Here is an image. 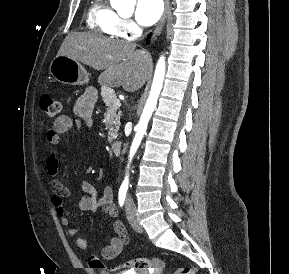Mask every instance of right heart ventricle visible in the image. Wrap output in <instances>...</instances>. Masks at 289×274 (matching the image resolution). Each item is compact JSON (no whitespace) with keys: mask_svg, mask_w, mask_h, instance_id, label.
<instances>
[{"mask_svg":"<svg viewBox=\"0 0 289 274\" xmlns=\"http://www.w3.org/2000/svg\"><path fill=\"white\" fill-rule=\"evenodd\" d=\"M119 19L118 14L104 0H94L88 10L87 25L102 34L119 36Z\"/></svg>","mask_w":289,"mask_h":274,"instance_id":"e07e8e85","label":"right heart ventricle"}]
</instances>
